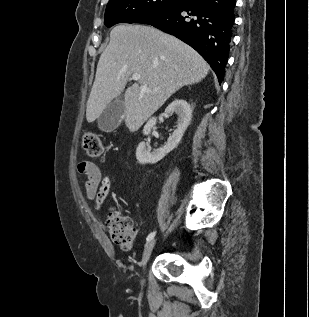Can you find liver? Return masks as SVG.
Returning <instances> with one entry per match:
<instances>
[{
  "instance_id": "6515ba94",
  "label": "liver",
  "mask_w": 309,
  "mask_h": 317,
  "mask_svg": "<svg viewBox=\"0 0 309 317\" xmlns=\"http://www.w3.org/2000/svg\"><path fill=\"white\" fill-rule=\"evenodd\" d=\"M206 61L176 37L146 25L115 26L101 54L86 109L89 123L125 89L134 73L138 82L124 94L125 124L137 131L176 91L204 79ZM149 91H141V86Z\"/></svg>"
}]
</instances>
